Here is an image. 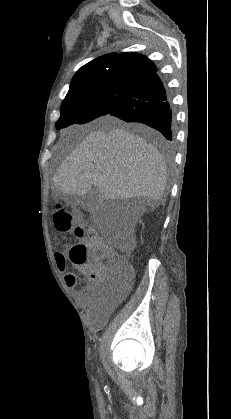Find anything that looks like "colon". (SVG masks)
Wrapping results in <instances>:
<instances>
[{"label": "colon", "instance_id": "colon-1", "mask_svg": "<svg viewBox=\"0 0 231 419\" xmlns=\"http://www.w3.org/2000/svg\"><path fill=\"white\" fill-rule=\"evenodd\" d=\"M55 225L61 232L72 231L79 239L71 246L68 260L74 265H85L87 273L99 287L108 284L112 290H116L130 279L132 267L125 251H117L104 242L86 221L76 219L71 212L60 208L55 213ZM56 259L66 261L60 253Z\"/></svg>", "mask_w": 231, "mask_h": 419}]
</instances>
